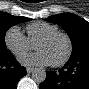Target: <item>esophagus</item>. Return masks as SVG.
Here are the masks:
<instances>
[{"label":"esophagus","instance_id":"34e87169","mask_svg":"<svg viewBox=\"0 0 89 89\" xmlns=\"http://www.w3.org/2000/svg\"><path fill=\"white\" fill-rule=\"evenodd\" d=\"M26 71H27V73H32L33 71H34V68H32V67H27L26 68Z\"/></svg>","mask_w":89,"mask_h":89}]
</instances>
